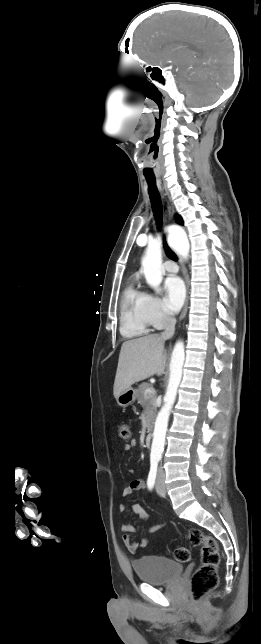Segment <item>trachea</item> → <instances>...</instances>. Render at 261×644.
<instances>
[{"instance_id": "3493384b", "label": "trachea", "mask_w": 261, "mask_h": 644, "mask_svg": "<svg viewBox=\"0 0 261 644\" xmlns=\"http://www.w3.org/2000/svg\"><path fill=\"white\" fill-rule=\"evenodd\" d=\"M148 185H149V194H150V199L152 202V207L155 211L156 218L158 220V224L161 223V200H160V195L159 192L156 188L155 180L152 179H147ZM160 226V225H159ZM164 248L167 256L171 258L174 261H177V257L175 253L169 248L166 242H164Z\"/></svg>"}]
</instances>
